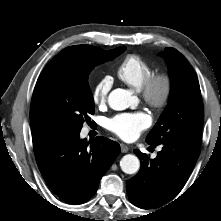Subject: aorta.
Segmentation results:
<instances>
[{"instance_id": "aorta-1", "label": "aorta", "mask_w": 221, "mask_h": 221, "mask_svg": "<svg viewBox=\"0 0 221 221\" xmlns=\"http://www.w3.org/2000/svg\"><path fill=\"white\" fill-rule=\"evenodd\" d=\"M132 102V93L126 89H114L108 96V104L114 110H125L132 104ZM120 167L124 173L134 174L140 168V161L137 156L127 154L122 157Z\"/></svg>"}]
</instances>
